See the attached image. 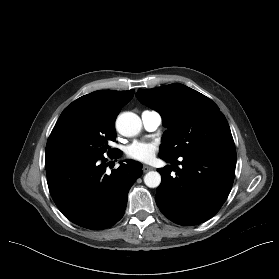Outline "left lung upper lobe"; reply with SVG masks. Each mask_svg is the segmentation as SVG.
Instances as JSON below:
<instances>
[{"instance_id":"5c2ea615","label":"left lung upper lobe","mask_w":279,"mask_h":279,"mask_svg":"<svg viewBox=\"0 0 279 279\" xmlns=\"http://www.w3.org/2000/svg\"><path fill=\"white\" fill-rule=\"evenodd\" d=\"M138 100L156 110L168 129L160 146V158L177 159L207 150L235 151L223 113L208 97L182 84L139 89Z\"/></svg>"}]
</instances>
